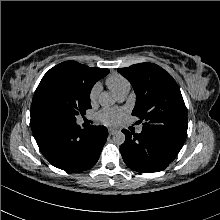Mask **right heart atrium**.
Returning a JSON list of instances; mask_svg holds the SVG:
<instances>
[{
	"mask_svg": "<svg viewBox=\"0 0 220 220\" xmlns=\"http://www.w3.org/2000/svg\"><path fill=\"white\" fill-rule=\"evenodd\" d=\"M99 92H100V85L99 84L93 85L89 93V101L91 104H95L97 102Z\"/></svg>",
	"mask_w": 220,
	"mask_h": 220,
	"instance_id": "right-heart-atrium-1",
	"label": "right heart atrium"
}]
</instances>
